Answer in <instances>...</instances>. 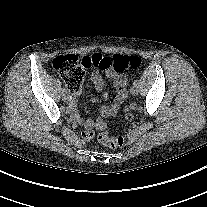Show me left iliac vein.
Masks as SVG:
<instances>
[{"instance_id": "4c4485c4", "label": "left iliac vein", "mask_w": 207, "mask_h": 207, "mask_svg": "<svg viewBox=\"0 0 207 207\" xmlns=\"http://www.w3.org/2000/svg\"><path fill=\"white\" fill-rule=\"evenodd\" d=\"M138 86L137 85H133L130 89V92L132 95L136 96L138 94Z\"/></svg>"}]
</instances>
